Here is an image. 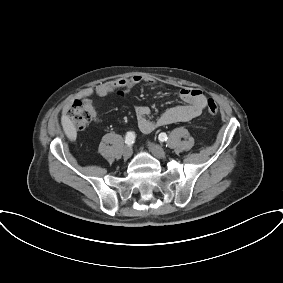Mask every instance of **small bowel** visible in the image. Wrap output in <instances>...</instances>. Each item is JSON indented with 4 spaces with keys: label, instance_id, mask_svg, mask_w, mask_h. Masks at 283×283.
I'll return each instance as SVG.
<instances>
[{
    "label": "small bowel",
    "instance_id": "small-bowel-1",
    "mask_svg": "<svg viewBox=\"0 0 283 283\" xmlns=\"http://www.w3.org/2000/svg\"><path fill=\"white\" fill-rule=\"evenodd\" d=\"M155 84V79L141 75H134L130 78L119 79L112 82L102 83L95 88H86L80 93V100L90 106L93 111L94 121L99 123L101 119L92 106V97L117 94L121 97L127 96L138 84ZM185 104L176 105L166 109L156 120H151V110L145 105H135L134 111L140 131L149 134L156 128L176 122H186L199 116L207 105V96L199 89H182L179 93Z\"/></svg>",
    "mask_w": 283,
    "mask_h": 283
}]
</instances>
